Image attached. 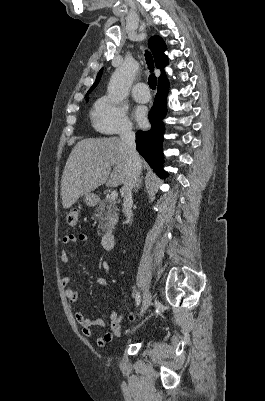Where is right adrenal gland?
<instances>
[{"label":"right adrenal gland","instance_id":"right-adrenal-gland-1","mask_svg":"<svg viewBox=\"0 0 265 401\" xmlns=\"http://www.w3.org/2000/svg\"><path fill=\"white\" fill-rule=\"evenodd\" d=\"M142 180H143V176H141V178H138V180L136 182V186H135V192H138L139 188H141Z\"/></svg>","mask_w":265,"mask_h":401}]
</instances>
